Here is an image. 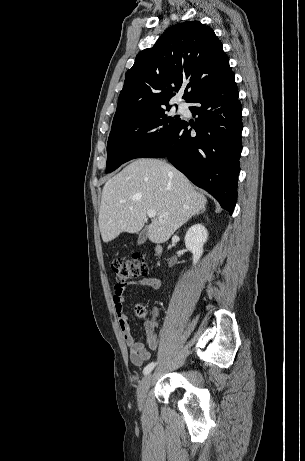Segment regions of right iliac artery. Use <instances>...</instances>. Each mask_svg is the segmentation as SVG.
<instances>
[{
  "mask_svg": "<svg viewBox=\"0 0 305 461\" xmlns=\"http://www.w3.org/2000/svg\"><path fill=\"white\" fill-rule=\"evenodd\" d=\"M155 365H156V363H154V362H151V363H149L148 365H146L145 368H144V370H143V374H144V375L149 374V373L153 370V368L155 367Z\"/></svg>",
  "mask_w": 305,
  "mask_h": 461,
  "instance_id": "obj_1",
  "label": "right iliac artery"
}]
</instances>
